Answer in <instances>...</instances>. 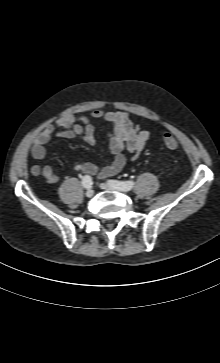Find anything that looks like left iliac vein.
<instances>
[{"label": "left iliac vein", "mask_w": 220, "mask_h": 363, "mask_svg": "<svg viewBox=\"0 0 220 363\" xmlns=\"http://www.w3.org/2000/svg\"><path fill=\"white\" fill-rule=\"evenodd\" d=\"M100 187H101L102 189H105V190H115V191H121V192H122V190H120V189H118V188H116V187H113L112 185L107 184V183H102V184H100Z\"/></svg>", "instance_id": "left-iliac-vein-1"}]
</instances>
